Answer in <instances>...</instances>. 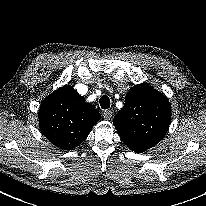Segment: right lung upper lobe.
I'll return each instance as SVG.
<instances>
[{"label": "right lung upper lobe", "instance_id": "obj_1", "mask_svg": "<svg viewBox=\"0 0 206 206\" xmlns=\"http://www.w3.org/2000/svg\"><path fill=\"white\" fill-rule=\"evenodd\" d=\"M38 117L44 136L65 150L81 144L100 119L97 110L70 85L57 89L45 98Z\"/></svg>", "mask_w": 206, "mask_h": 206}]
</instances>
